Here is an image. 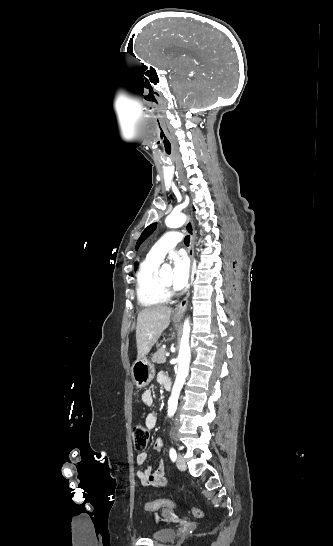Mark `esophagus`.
<instances>
[{
  "instance_id": "esophagus-1",
  "label": "esophagus",
  "mask_w": 333,
  "mask_h": 546,
  "mask_svg": "<svg viewBox=\"0 0 333 546\" xmlns=\"http://www.w3.org/2000/svg\"><path fill=\"white\" fill-rule=\"evenodd\" d=\"M185 228L190 235V247H189L188 253L191 259V263H193L194 262L195 232H194L191 218L189 216L185 224ZM188 297H189V291L187 292L185 298L175 307L173 312L175 316H182L184 314L188 305Z\"/></svg>"
}]
</instances>
